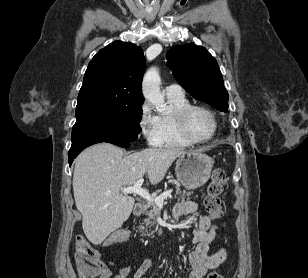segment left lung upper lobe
I'll use <instances>...</instances> for the list:
<instances>
[{
    "label": "left lung upper lobe",
    "mask_w": 308,
    "mask_h": 278,
    "mask_svg": "<svg viewBox=\"0 0 308 278\" xmlns=\"http://www.w3.org/2000/svg\"><path fill=\"white\" fill-rule=\"evenodd\" d=\"M167 65L178 83L195 99L219 111H228L229 95L217 61L202 46H174L166 54Z\"/></svg>",
    "instance_id": "obj_1"
}]
</instances>
